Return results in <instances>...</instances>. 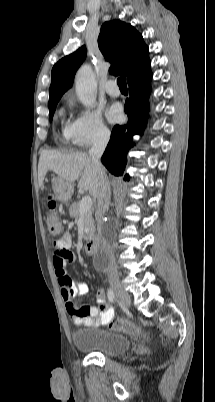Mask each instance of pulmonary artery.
<instances>
[{
    "label": "pulmonary artery",
    "mask_w": 215,
    "mask_h": 402,
    "mask_svg": "<svg viewBox=\"0 0 215 402\" xmlns=\"http://www.w3.org/2000/svg\"><path fill=\"white\" fill-rule=\"evenodd\" d=\"M105 91L110 95V96H119L120 95V90L114 80H109L105 83Z\"/></svg>",
    "instance_id": "e3ab8cb5"
}]
</instances>
